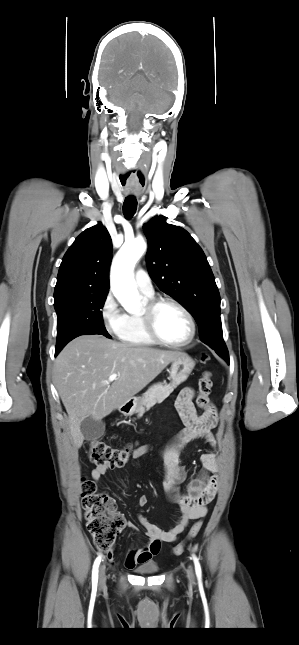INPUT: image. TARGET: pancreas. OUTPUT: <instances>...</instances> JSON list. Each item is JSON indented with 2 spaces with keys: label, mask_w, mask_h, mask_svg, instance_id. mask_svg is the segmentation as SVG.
Wrapping results in <instances>:
<instances>
[{
  "label": "pancreas",
  "mask_w": 299,
  "mask_h": 645,
  "mask_svg": "<svg viewBox=\"0 0 299 645\" xmlns=\"http://www.w3.org/2000/svg\"><path fill=\"white\" fill-rule=\"evenodd\" d=\"M176 388L175 384L158 383L151 386L142 397V404L138 409V417H141L146 410H149L156 403L165 400Z\"/></svg>",
  "instance_id": "cf45deb5"
}]
</instances>
